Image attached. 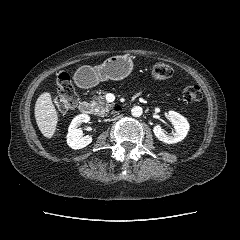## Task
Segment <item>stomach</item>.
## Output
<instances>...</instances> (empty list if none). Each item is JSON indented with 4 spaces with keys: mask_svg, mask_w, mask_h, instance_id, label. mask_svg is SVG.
Wrapping results in <instances>:
<instances>
[{
    "mask_svg": "<svg viewBox=\"0 0 240 240\" xmlns=\"http://www.w3.org/2000/svg\"><path fill=\"white\" fill-rule=\"evenodd\" d=\"M131 70L132 62L130 59L125 56H112L99 66L80 67L76 72V76L88 86H94L100 81L121 80L128 76Z\"/></svg>",
    "mask_w": 240,
    "mask_h": 240,
    "instance_id": "1",
    "label": "stomach"
}]
</instances>
